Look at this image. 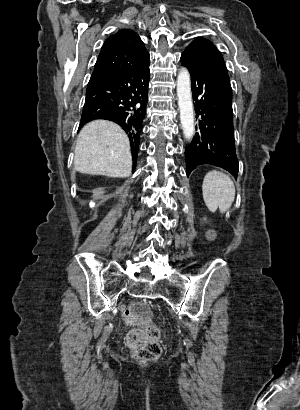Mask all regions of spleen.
Listing matches in <instances>:
<instances>
[{"mask_svg":"<svg viewBox=\"0 0 300 410\" xmlns=\"http://www.w3.org/2000/svg\"><path fill=\"white\" fill-rule=\"evenodd\" d=\"M203 199L211 212L218 208L221 213L228 210L235 199V186L230 177L222 172H208L202 184Z\"/></svg>","mask_w":300,"mask_h":410,"instance_id":"obj_1","label":"spleen"}]
</instances>
